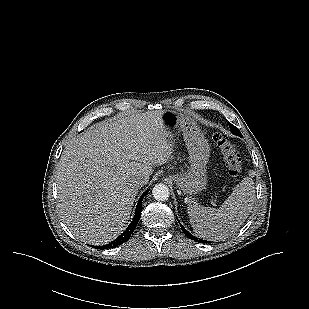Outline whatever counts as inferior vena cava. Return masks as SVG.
<instances>
[{
  "instance_id": "inferior-vena-cava-1",
  "label": "inferior vena cava",
  "mask_w": 309,
  "mask_h": 309,
  "mask_svg": "<svg viewBox=\"0 0 309 309\" xmlns=\"http://www.w3.org/2000/svg\"><path fill=\"white\" fill-rule=\"evenodd\" d=\"M147 183V179L145 177L139 176L132 180V185L136 188H141Z\"/></svg>"
}]
</instances>
